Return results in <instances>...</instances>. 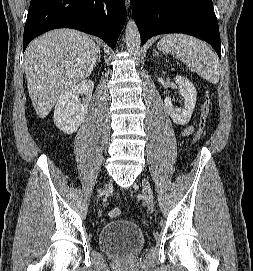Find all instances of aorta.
Wrapping results in <instances>:
<instances>
[{
  "mask_svg": "<svg viewBox=\"0 0 253 271\" xmlns=\"http://www.w3.org/2000/svg\"><path fill=\"white\" fill-rule=\"evenodd\" d=\"M126 47L129 53L137 55L140 50L141 38L138 27L133 19H130L125 30Z\"/></svg>",
  "mask_w": 253,
  "mask_h": 271,
  "instance_id": "obj_1",
  "label": "aorta"
}]
</instances>
